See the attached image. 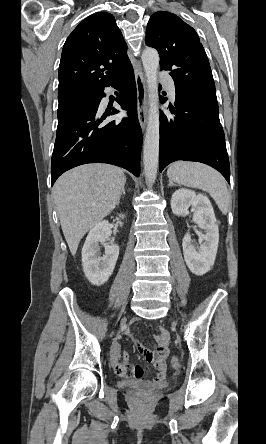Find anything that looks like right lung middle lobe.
<instances>
[{"instance_id": "1", "label": "right lung middle lobe", "mask_w": 266, "mask_h": 444, "mask_svg": "<svg viewBox=\"0 0 266 444\" xmlns=\"http://www.w3.org/2000/svg\"><path fill=\"white\" fill-rule=\"evenodd\" d=\"M96 96L97 93H84L58 98V122L69 117L71 114L86 108L95 100Z\"/></svg>"}]
</instances>
